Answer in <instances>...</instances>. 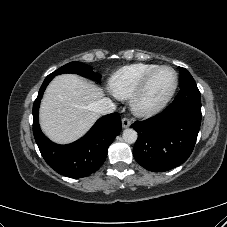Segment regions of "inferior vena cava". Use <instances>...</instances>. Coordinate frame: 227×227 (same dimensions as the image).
<instances>
[{"mask_svg":"<svg viewBox=\"0 0 227 227\" xmlns=\"http://www.w3.org/2000/svg\"><path fill=\"white\" fill-rule=\"evenodd\" d=\"M95 110L100 114H110L115 110V104L109 98H102L95 103Z\"/></svg>","mask_w":227,"mask_h":227,"instance_id":"inferior-vena-cava-1","label":"inferior vena cava"}]
</instances>
